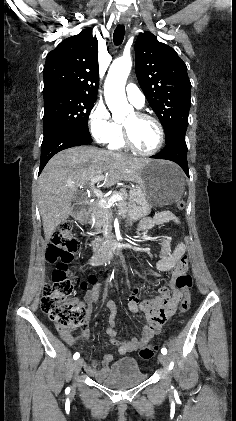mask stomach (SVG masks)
<instances>
[{
  "label": "stomach",
  "mask_w": 236,
  "mask_h": 421,
  "mask_svg": "<svg viewBox=\"0 0 236 421\" xmlns=\"http://www.w3.org/2000/svg\"><path fill=\"white\" fill-rule=\"evenodd\" d=\"M137 184L130 190L127 219L129 225L149 215L152 206H165L180 200L185 190L183 170L164 160L148 158L139 168Z\"/></svg>",
  "instance_id": "1"
}]
</instances>
